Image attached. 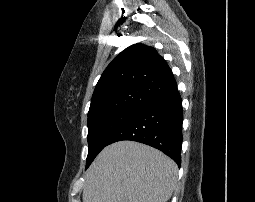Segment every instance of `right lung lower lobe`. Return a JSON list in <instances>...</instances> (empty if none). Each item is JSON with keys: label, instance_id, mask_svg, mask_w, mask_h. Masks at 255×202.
<instances>
[{"label": "right lung lower lobe", "instance_id": "obj_1", "mask_svg": "<svg viewBox=\"0 0 255 202\" xmlns=\"http://www.w3.org/2000/svg\"><path fill=\"white\" fill-rule=\"evenodd\" d=\"M182 99L176 90L140 108L109 140L108 145L132 140L150 145L171 157L180 167Z\"/></svg>", "mask_w": 255, "mask_h": 202}]
</instances>
